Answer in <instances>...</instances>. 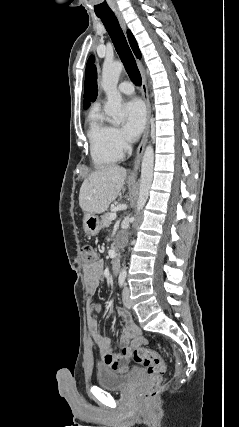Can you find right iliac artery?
<instances>
[{
    "instance_id": "82829eb1",
    "label": "right iliac artery",
    "mask_w": 239,
    "mask_h": 427,
    "mask_svg": "<svg viewBox=\"0 0 239 427\" xmlns=\"http://www.w3.org/2000/svg\"><path fill=\"white\" fill-rule=\"evenodd\" d=\"M124 284H125V277L124 276H120L119 277V286L123 287Z\"/></svg>"
}]
</instances>
